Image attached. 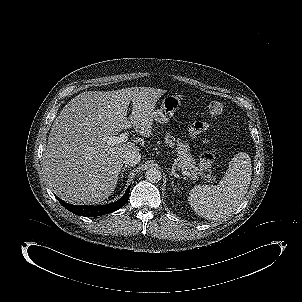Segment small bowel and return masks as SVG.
Segmentation results:
<instances>
[{
	"label": "small bowel",
	"mask_w": 302,
	"mask_h": 302,
	"mask_svg": "<svg viewBox=\"0 0 302 302\" xmlns=\"http://www.w3.org/2000/svg\"><path fill=\"white\" fill-rule=\"evenodd\" d=\"M208 128H209V124H207L206 122L196 121L189 126V133L192 136H196L201 132L207 130Z\"/></svg>",
	"instance_id": "small-bowel-1"
}]
</instances>
